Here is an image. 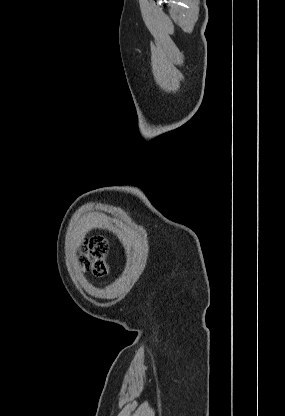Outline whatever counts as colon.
Masks as SVG:
<instances>
[{"mask_svg": "<svg viewBox=\"0 0 285 416\" xmlns=\"http://www.w3.org/2000/svg\"><path fill=\"white\" fill-rule=\"evenodd\" d=\"M83 269L91 271L96 276H104L107 271L106 256L109 250L108 241L103 236L86 240L84 244Z\"/></svg>", "mask_w": 285, "mask_h": 416, "instance_id": "obj_1", "label": "colon"}]
</instances>
